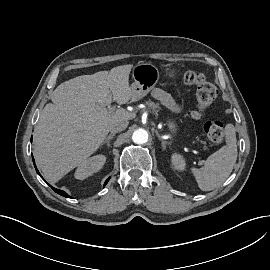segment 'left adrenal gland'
I'll return each instance as SVG.
<instances>
[{"instance_id":"1","label":"left adrenal gland","mask_w":270,"mask_h":270,"mask_svg":"<svg viewBox=\"0 0 270 270\" xmlns=\"http://www.w3.org/2000/svg\"><path fill=\"white\" fill-rule=\"evenodd\" d=\"M156 135L159 138V140L161 141V145H162L163 149H165L166 148V142L161 139V137H160V135H159V133L157 131H156Z\"/></svg>"}]
</instances>
